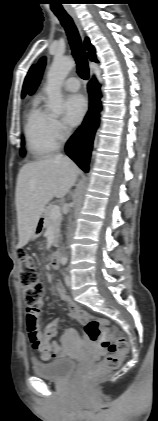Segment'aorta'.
Wrapping results in <instances>:
<instances>
[{
    "label": "aorta",
    "instance_id": "obj_1",
    "mask_svg": "<svg viewBox=\"0 0 158 421\" xmlns=\"http://www.w3.org/2000/svg\"><path fill=\"white\" fill-rule=\"evenodd\" d=\"M75 66V61L69 58H55L49 68L47 74V83L45 91L47 92L49 101L48 108L59 113L62 108V84Z\"/></svg>",
    "mask_w": 158,
    "mask_h": 421
}]
</instances>
